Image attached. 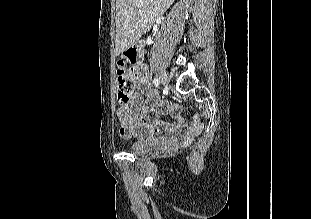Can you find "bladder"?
<instances>
[{
  "mask_svg": "<svg viewBox=\"0 0 311 219\" xmlns=\"http://www.w3.org/2000/svg\"><path fill=\"white\" fill-rule=\"evenodd\" d=\"M153 149L152 142H134L130 146V151L134 154H147Z\"/></svg>",
  "mask_w": 311,
  "mask_h": 219,
  "instance_id": "1",
  "label": "bladder"
}]
</instances>
